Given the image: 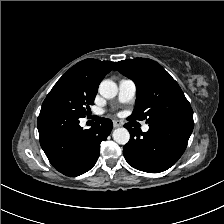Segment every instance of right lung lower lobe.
Returning <instances> with one entry per match:
<instances>
[{"mask_svg":"<svg viewBox=\"0 0 224 224\" xmlns=\"http://www.w3.org/2000/svg\"><path fill=\"white\" fill-rule=\"evenodd\" d=\"M112 126L111 120L100 118L84 130L78 117L54 109H41L37 120L42 149L53 167L67 176H79L95 165L100 143Z\"/></svg>","mask_w":224,"mask_h":224,"instance_id":"obj_1","label":"right lung lower lobe"}]
</instances>
